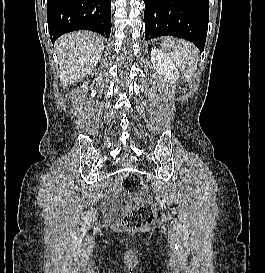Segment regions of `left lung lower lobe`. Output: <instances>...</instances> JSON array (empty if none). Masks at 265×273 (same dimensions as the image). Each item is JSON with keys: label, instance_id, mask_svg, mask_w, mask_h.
<instances>
[{"label": "left lung lower lobe", "instance_id": "obj_1", "mask_svg": "<svg viewBox=\"0 0 265 273\" xmlns=\"http://www.w3.org/2000/svg\"><path fill=\"white\" fill-rule=\"evenodd\" d=\"M209 0H145V39L174 36L204 50Z\"/></svg>", "mask_w": 265, "mask_h": 273}]
</instances>
